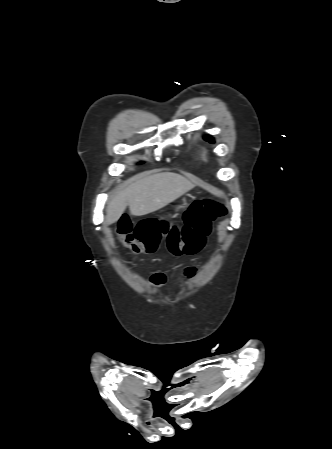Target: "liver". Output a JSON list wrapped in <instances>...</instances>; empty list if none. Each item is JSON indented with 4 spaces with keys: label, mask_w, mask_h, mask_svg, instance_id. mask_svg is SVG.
Returning <instances> with one entry per match:
<instances>
[{
    "label": "liver",
    "mask_w": 332,
    "mask_h": 449,
    "mask_svg": "<svg viewBox=\"0 0 332 449\" xmlns=\"http://www.w3.org/2000/svg\"><path fill=\"white\" fill-rule=\"evenodd\" d=\"M194 184L176 173H159L139 179L114 195L107 204L106 224L117 222L129 206L134 216L155 212L194 188Z\"/></svg>",
    "instance_id": "6515ba94"
}]
</instances>
